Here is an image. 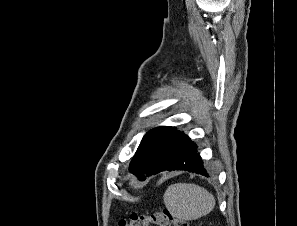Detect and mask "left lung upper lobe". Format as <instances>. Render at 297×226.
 Listing matches in <instances>:
<instances>
[{
    "label": "left lung upper lobe",
    "instance_id": "left-lung-upper-lobe-1",
    "mask_svg": "<svg viewBox=\"0 0 297 226\" xmlns=\"http://www.w3.org/2000/svg\"><path fill=\"white\" fill-rule=\"evenodd\" d=\"M175 127L162 126L150 130L142 139L130 164V172L140 179L147 176L171 144Z\"/></svg>",
    "mask_w": 297,
    "mask_h": 226
}]
</instances>
